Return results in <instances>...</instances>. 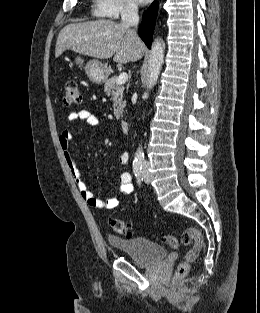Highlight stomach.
Returning <instances> with one entry per match:
<instances>
[{
    "mask_svg": "<svg viewBox=\"0 0 260 313\" xmlns=\"http://www.w3.org/2000/svg\"><path fill=\"white\" fill-rule=\"evenodd\" d=\"M83 60L80 57L76 58V63H82ZM85 72L93 83L96 84H101L104 81H106L107 76L109 74L108 68L103 65L100 61L98 60H90L86 67H85Z\"/></svg>",
    "mask_w": 260,
    "mask_h": 313,
    "instance_id": "1",
    "label": "stomach"
}]
</instances>
